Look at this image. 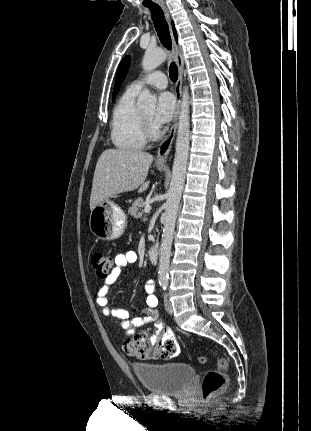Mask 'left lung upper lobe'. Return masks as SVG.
<instances>
[{
    "label": "left lung upper lobe",
    "instance_id": "1",
    "mask_svg": "<svg viewBox=\"0 0 311 431\" xmlns=\"http://www.w3.org/2000/svg\"><path fill=\"white\" fill-rule=\"evenodd\" d=\"M129 66H130V56H127L125 59H123V61L120 63V65L118 67L116 81H115L114 90H113V96H112L113 101L116 97V94L119 91V88H120L124 78L127 75Z\"/></svg>",
    "mask_w": 311,
    "mask_h": 431
}]
</instances>
